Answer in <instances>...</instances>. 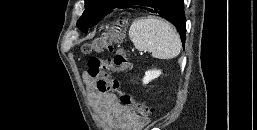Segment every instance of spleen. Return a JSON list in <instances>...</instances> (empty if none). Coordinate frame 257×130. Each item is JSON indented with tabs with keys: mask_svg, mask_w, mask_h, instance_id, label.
<instances>
[{
	"mask_svg": "<svg viewBox=\"0 0 257 130\" xmlns=\"http://www.w3.org/2000/svg\"><path fill=\"white\" fill-rule=\"evenodd\" d=\"M129 37L139 51L158 59H172L181 51V40L175 28L162 19L149 16L133 21Z\"/></svg>",
	"mask_w": 257,
	"mask_h": 130,
	"instance_id": "3e777b00",
	"label": "spleen"
}]
</instances>
